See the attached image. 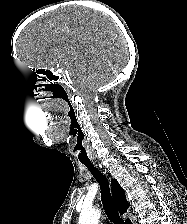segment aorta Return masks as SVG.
Wrapping results in <instances>:
<instances>
[{
    "label": "aorta",
    "mask_w": 187,
    "mask_h": 224,
    "mask_svg": "<svg viewBox=\"0 0 187 224\" xmlns=\"http://www.w3.org/2000/svg\"><path fill=\"white\" fill-rule=\"evenodd\" d=\"M100 210L83 209L80 213L78 224H98L100 219Z\"/></svg>",
    "instance_id": "obj_1"
}]
</instances>
